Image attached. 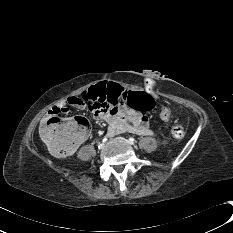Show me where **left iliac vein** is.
Masks as SVG:
<instances>
[{"label": "left iliac vein", "instance_id": "1", "mask_svg": "<svg viewBox=\"0 0 233 233\" xmlns=\"http://www.w3.org/2000/svg\"><path fill=\"white\" fill-rule=\"evenodd\" d=\"M118 139L121 140V141H124V142H128L126 139H124L122 137H119Z\"/></svg>", "mask_w": 233, "mask_h": 233}]
</instances>
